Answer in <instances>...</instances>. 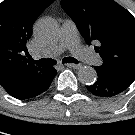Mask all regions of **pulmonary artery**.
<instances>
[{
  "label": "pulmonary artery",
  "instance_id": "1",
  "mask_svg": "<svg viewBox=\"0 0 135 135\" xmlns=\"http://www.w3.org/2000/svg\"><path fill=\"white\" fill-rule=\"evenodd\" d=\"M70 52L79 59L90 64H99L100 57L88 48H84L77 36V28L72 20H65L61 27V37L58 44L48 47L36 57L51 58L63 53L64 50Z\"/></svg>",
  "mask_w": 135,
  "mask_h": 135
}]
</instances>
